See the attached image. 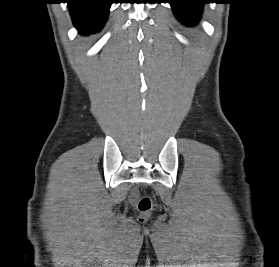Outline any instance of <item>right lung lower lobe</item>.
Wrapping results in <instances>:
<instances>
[{
  "label": "right lung lower lobe",
  "mask_w": 279,
  "mask_h": 267,
  "mask_svg": "<svg viewBox=\"0 0 279 267\" xmlns=\"http://www.w3.org/2000/svg\"><path fill=\"white\" fill-rule=\"evenodd\" d=\"M112 0H68L75 26L82 34L98 31L105 23Z\"/></svg>",
  "instance_id": "right-lung-lower-lobe-1"
}]
</instances>
